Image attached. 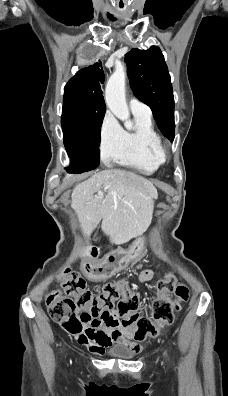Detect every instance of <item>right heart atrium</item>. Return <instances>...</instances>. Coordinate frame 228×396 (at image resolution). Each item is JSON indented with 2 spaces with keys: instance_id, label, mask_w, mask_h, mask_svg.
I'll list each match as a JSON object with an SVG mask.
<instances>
[{
  "instance_id": "d8ad5b80",
  "label": "right heart atrium",
  "mask_w": 228,
  "mask_h": 396,
  "mask_svg": "<svg viewBox=\"0 0 228 396\" xmlns=\"http://www.w3.org/2000/svg\"><path fill=\"white\" fill-rule=\"evenodd\" d=\"M123 129L109 112L102 118L99 130V143L102 159L114 161L122 144Z\"/></svg>"
}]
</instances>
